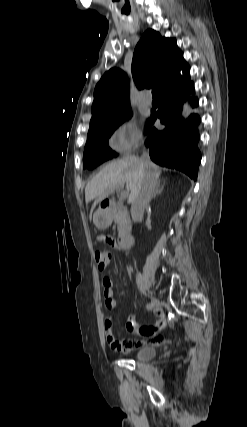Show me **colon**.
<instances>
[{
    "label": "colon",
    "instance_id": "5ec220e1",
    "mask_svg": "<svg viewBox=\"0 0 247 427\" xmlns=\"http://www.w3.org/2000/svg\"><path fill=\"white\" fill-rule=\"evenodd\" d=\"M95 261L98 265V268L100 270H104L111 261V253L109 250L103 249V250H97L95 252ZM128 341L126 340H119L117 345L120 347L128 346Z\"/></svg>",
    "mask_w": 247,
    "mask_h": 427
}]
</instances>
